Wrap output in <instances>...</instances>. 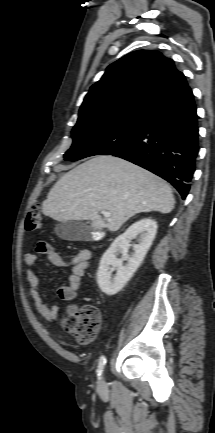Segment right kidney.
I'll use <instances>...</instances> for the list:
<instances>
[{"instance_id": "ca27d5eb", "label": "right kidney", "mask_w": 215, "mask_h": 433, "mask_svg": "<svg viewBox=\"0 0 215 433\" xmlns=\"http://www.w3.org/2000/svg\"><path fill=\"white\" fill-rule=\"evenodd\" d=\"M157 232V224L151 218H143L132 224L118 236L101 258L97 271V282L101 291L107 295L118 293L131 279L146 256ZM138 237V244L133 245V254L128 256L130 241ZM121 253L122 259L117 255ZM123 260L127 264L123 265ZM116 275L111 278L113 269Z\"/></svg>"}]
</instances>
